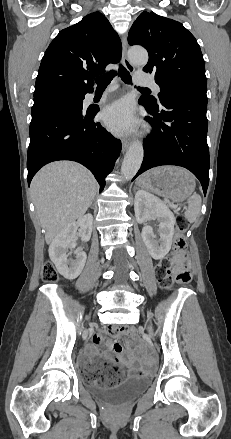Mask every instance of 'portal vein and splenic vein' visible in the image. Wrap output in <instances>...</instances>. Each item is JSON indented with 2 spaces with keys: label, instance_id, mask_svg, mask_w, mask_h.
<instances>
[{
  "label": "portal vein and splenic vein",
  "instance_id": "obj_1",
  "mask_svg": "<svg viewBox=\"0 0 231 439\" xmlns=\"http://www.w3.org/2000/svg\"><path fill=\"white\" fill-rule=\"evenodd\" d=\"M172 207H173V208H176L177 206H176V205H172Z\"/></svg>",
  "mask_w": 231,
  "mask_h": 439
}]
</instances>
